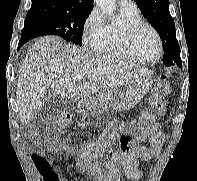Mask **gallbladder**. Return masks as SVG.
<instances>
[{
    "instance_id": "gallbladder-1",
    "label": "gallbladder",
    "mask_w": 197,
    "mask_h": 181,
    "mask_svg": "<svg viewBox=\"0 0 197 181\" xmlns=\"http://www.w3.org/2000/svg\"><path fill=\"white\" fill-rule=\"evenodd\" d=\"M56 97H58V94L56 93V91H54V89H52V88L47 89L45 91L44 99H43L44 100V109H50L51 103L53 100L56 99Z\"/></svg>"
}]
</instances>
